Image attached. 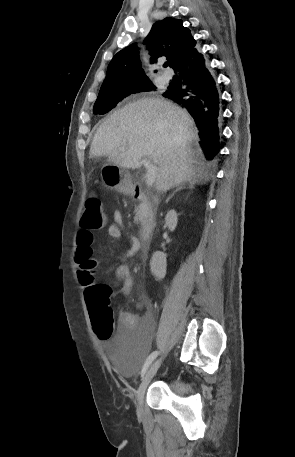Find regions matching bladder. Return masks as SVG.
<instances>
[{"instance_id":"1","label":"bladder","mask_w":295,"mask_h":457,"mask_svg":"<svg viewBox=\"0 0 295 457\" xmlns=\"http://www.w3.org/2000/svg\"><path fill=\"white\" fill-rule=\"evenodd\" d=\"M151 338H109L113 363L120 371L135 372L145 360H153Z\"/></svg>"}]
</instances>
